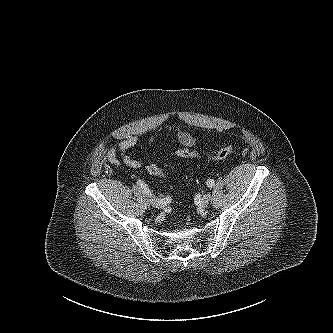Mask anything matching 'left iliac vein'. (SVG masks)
I'll return each instance as SVG.
<instances>
[{"mask_svg":"<svg viewBox=\"0 0 333 333\" xmlns=\"http://www.w3.org/2000/svg\"><path fill=\"white\" fill-rule=\"evenodd\" d=\"M210 198H211L210 194H205L200 200V207L205 208L208 205Z\"/></svg>","mask_w":333,"mask_h":333,"instance_id":"1","label":"left iliac vein"}]
</instances>
